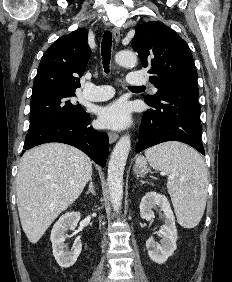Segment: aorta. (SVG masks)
I'll list each match as a JSON object with an SVG mask.
<instances>
[{"label": "aorta", "mask_w": 232, "mask_h": 282, "mask_svg": "<svg viewBox=\"0 0 232 282\" xmlns=\"http://www.w3.org/2000/svg\"><path fill=\"white\" fill-rule=\"evenodd\" d=\"M115 61L123 67H134L137 63V56L132 51L122 50L115 55ZM130 149V136L126 134L115 145L108 164V191L112 207L115 211H119L121 208L123 174Z\"/></svg>", "instance_id": "obj_1"}]
</instances>
